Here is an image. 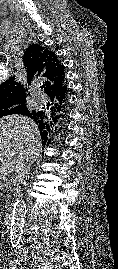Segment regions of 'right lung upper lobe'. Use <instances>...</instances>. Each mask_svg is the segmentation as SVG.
<instances>
[{"label":"right lung upper lobe","mask_w":118,"mask_h":269,"mask_svg":"<svg viewBox=\"0 0 118 269\" xmlns=\"http://www.w3.org/2000/svg\"><path fill=\"white\" fill-rule=\"evenodd\" d=\"M27 71L28 85L39 82L48 95L50 103L39 111H29L25 107L20 114L31 117L38 123L41 137L45 140L56 124V112L63 111L67 105V85L64 66L55 53L38 44L30 45L23 58ZM26 89L15 81L14 76L0 85V107L26 102Z\"/></svg>","instance_id":"cb5924a9"}]
</instances>
